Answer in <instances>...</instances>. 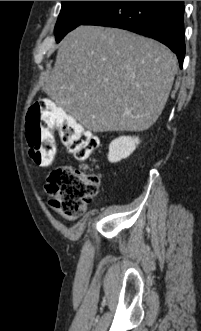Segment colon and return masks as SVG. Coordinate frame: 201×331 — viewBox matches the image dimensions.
<instances>
[{
  "label": "colon",
  "mask_w": 201,
  "mask_h": 331,
  "mask_svg": "<svg viewBox=\"0 0 201 331\" xmlns=\"http://www.w3.org/2000/svg\"><path fill=\"white\" fill-rule=\"evenodd\" d=\"M56 130L63 145L78 160L87 159L97 148L98 140L63 109L50 100L35 102L27 113L26 137L31 159L40 166L50 165L55 158ZM100 187V177L86 166H61L48 176L46 190L50 205L63 217H81Z\"/></svg>",
  "instance_id": "obj_1"
}]
</instances>
